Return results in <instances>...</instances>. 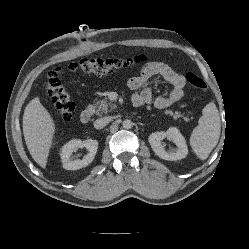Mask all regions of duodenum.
<instances>
[{"label": "duodenum", "mask_w": 249, "mask_h": 249, "mask_svg": "<svg viewBox=\"0 0 249 249\" xmlns=\"http://www.w3.org/2000/svg\"><path fill=\"white\" fill-rule=\"evenodd\" d=\"M92 115H93V110L91 108L85 109L80 115L81 122L84 124L89 123Z\"/></svg>", "instance_id": "1"}]
</instances>
